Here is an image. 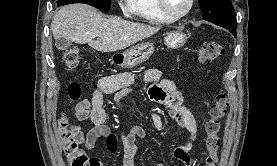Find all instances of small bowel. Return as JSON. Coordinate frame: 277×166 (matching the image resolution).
I'll return each mask as SVG.
<instances>
[{
  "label": "small bowel",
  "instance_id": "1",
  "mask_svg": "<svg viewBox=\"0 0 277 166\" xmlns=\"http://www.w3.org/2000/svg\"><path fill=\"white\" fill-rule=\"evenodd\" d=\"M134 75L123 72L116 75L104 76L98 79L91 99H84L75 108L76 118L80 121L91 119L94 126L84 135L81 133L80 141L86 149L95 146L99 138H105L107 148L111 153L117 151L118 140L106 124V112L103 107L104 96L114 94V101L120 108V101L132 91ZM143 81L151 84L148 88V97L169 110L171 119L183 130V141L173 150V156L181 161L184 166H191L190 150L196 141L197 125L193 114L183 105V97L175 83L170 79H163L161 71L149 69L144 73ZM155 128L163 127V119L160 114L152 115ZM147 133L141 126H134L129 131L120 133V141L123 146V166H134V158L137 151L136 140L146 138ZM94 166H103L97 157H92ZM155 166H164L157 163Z\"/></svg>",
  "mask_w": 277,
  "mask_h": 166
}]
</instances>
